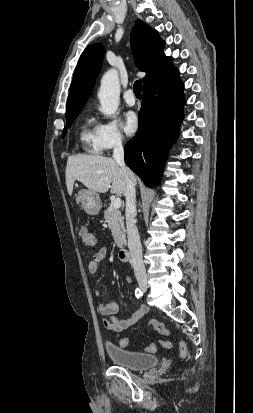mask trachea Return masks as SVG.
I'll use <instances>...</instances> for the list:
<instances>
[{
    "label": "trachea",
    "mask_w": 253,
    "mask_h": 413,
    "mask_svg": "<svg viewBox=\"0 0 253 413\" xmlns=\"http://www.w3.org/2000/svg\"><path fill=\"white\" fill-rule=\"evenodd\" d=\"M141 87H142V82L141 80H137L135 81L134 85H133V91L136 95L137 98H141L142 94H141Z\"/></svg>",
    "instance_id": "1"
}]
</instances>
